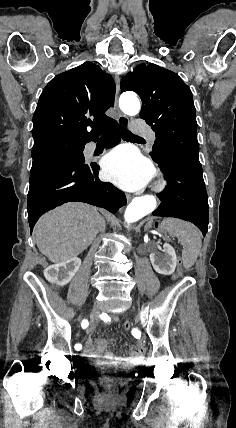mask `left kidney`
Here are the masks:
<instances>
[{"mask_svg": "<svg viewBox=\"0 0 236 428\" xmlns=\"http://www.w3.org/2000/svg\"><path fill=\"white\" fill-rule=\"evenodd\" d=\"M161 252H164V256L159 254H150V262L158 274H164V276H170L175 272L177 260L174 248L170 244H164L163 250L159 248Z\"/></svg>", "mask_w": 236, "mask_h": 428, "instance_id": "obj_1", "label": "left kidney"}]
</instances>
